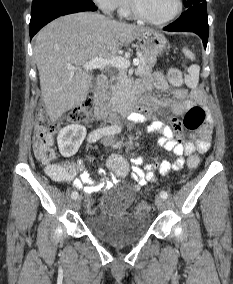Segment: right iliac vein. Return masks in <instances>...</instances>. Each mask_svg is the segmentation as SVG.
Here are the masks:
<instances>
[{
  "instance_id": "63e3f726",
  "label": "right iliac vein",
  "mask_w": 233,
  "mask_h": 284,
  "mask_svg": "<svg viewBox=\"0 0 233 284\" xmlns=\"http://www.w3.org/2000/svg\"><path fill=\"white\" fill-rule=\"evenodd\" d=\"M80 206H81V199L79 197H77L73 201V207H74L75 210H79Z\"/></svg>"
}]
</instances>
